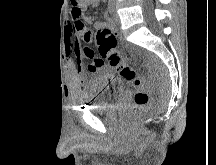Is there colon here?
<instances>
[{"label": "colon", "mask_w": 216, "mask_h": 165, "mask_svg": "<svg viewBox=\"0 0 216 165\" xmlns=\"http://www.w3.org/2000/svg\"><path fill=\"white\" fill-rule=\"evenodd\" d=\"M87 0H71L73 7L81 10ZM97 52L89 47L82 49V55L91 62L88 70L95 73L101 68L110 67L118 72V74L134 88V106L131 112L133 119L142 116L148 109L150 104V85L148 81L141 76L134 68L128 65L117 49V37L107 27H99L96 33Z\"/></svg>", "instance_id": "5ec220e1"}]
</instances>
